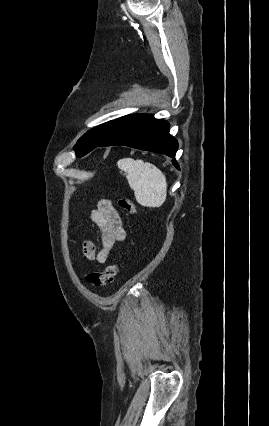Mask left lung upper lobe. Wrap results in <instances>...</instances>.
I'll return each instance as SVG.
<instances>
[{
  "instance_id": "1",
  "label": "left lung upper lobe",
  "mask_w": 269,
  "mask_h": 426,
  "mask_svg": "<svg viewBox=\"0 0 269 426\" xmlns=\"http://www.w3.org/2000/svg\"><path fill=\"white\" fill-rule=\"evenodd\" d=\"M115 121L101 124L85 133L74 146L77 157H82L96 148L107 135Z\"/></svg>"
}]
</instances>
